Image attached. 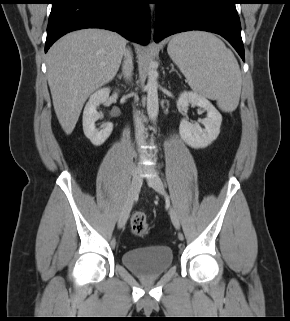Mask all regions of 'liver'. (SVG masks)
Listing matches in <instances>:
<instances>
[{
    "label": "liver",
    "instance_id": "1",
    "mask_svg": "<svg viewBox=\"0 0 290 321\" xmlns=\"http://www.w3.org/2000/svg\"><path fill=\"white\" fill-rule=\"evenodd\" d=\"M126 40L104 29L66 34L49 49L47 79L58 121L69 135L87 98L116 75Z\"/></svg>",
    "mask_w": 290,
    "mask_h": 321
}]
</instances>
